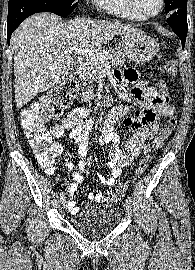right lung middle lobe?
<instances>
[{"instance_id": "right-lung-middle-lobe-1", "label": "right lung middle lobe", "mask_w": 195, "mask_h": 270, "mask_svg": "<svg viewBox=\"0 0 195 270\" xmlns=\"http://www.w3.org/2000/svg\"><path fill=\"white\" fill-rule=\"evenodd\" d=\"M54 4L55 14L65 17L69 15L77 6V0H49Z\"/></svg>"}]
</instances>
